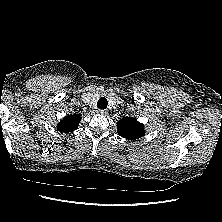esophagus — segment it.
<instances>
[{
	"label": "esophagus",
	"instance_id": "34e87169",
	"mask_svg": "<svg viewBox=\"0 0 222 222\" xmlns=\"http://www.w3.org/2000/svg\"><path fill=\"white\" fill-rule=\"evenodd\" d=\"M98 113L101 115H107L108 111L106 109H99Z\"/></svg>",
	"mask_w": 222,
	"mask_h": 222
}]
</instances>
